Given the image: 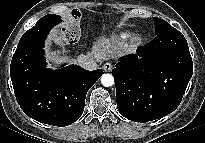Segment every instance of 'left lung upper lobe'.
Returning <instances> with one entry per match:
<instances>
[{"instance_id":"5c2ea615","label":"left lung upper lobe","mask_w":205,"mask_h":143,"mask_svg":"<svg viewBox=\"0 0 205 143\" xmlns=\"http://www.w3.org/2000/svg\"><path fill=\"white\" fill-rule=\"evenodd\" d=\"M156 35L175 31L176 29L168 24L165 20L154 17Z\"/></svg>"}]
</instances>
